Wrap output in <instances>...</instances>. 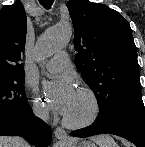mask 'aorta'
<instances>
[{
	"instance_id": "obj_1",
	"label": "aorta",
	"mask_w": 145,
	"mask_h": 147,
	"mask_svg": "<svg viewBox=\"0 0 145 147\" xmlns=\"http://www.w3.org/2000/svg\"><path fill=\"white\" fill-rule=\"evenodd\" d=\"M72 34L68 24H58L48 28L39 38L35 48V58L42 61L64 47Z\"/></svg>"
}]
</instances>
